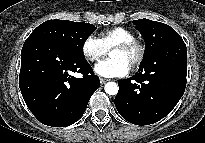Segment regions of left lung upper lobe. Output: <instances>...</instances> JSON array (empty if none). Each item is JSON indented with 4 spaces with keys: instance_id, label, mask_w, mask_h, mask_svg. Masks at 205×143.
<instances>
[{
    "instance_id": "left-lung-upper-lobe-1",
    "label": "left lung upper lobe",
    "mask_w": 205,
    "mask_h": 143,
    "mask_svg": "<svg viewBox=\"0 0 205 143\" xmlns=\"http://www.w3.org/2000/svg\"><path fill=\"white\" fill-rule=\"evenodd\" d=\"M133 23L136 25V29L142 34L146 43L144 59L141 62L139 70L151 67L156 68L157 65L166 63L167 58L161 59L159 62L155 57V53L167 43L180 39L179 34L169 25L161 22L139 19L134 20Z\"/></svg>"
}]
</instances>
